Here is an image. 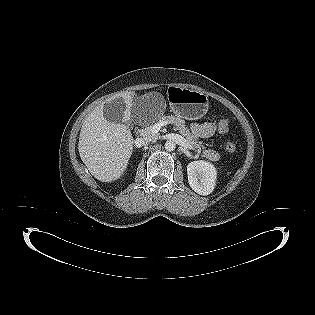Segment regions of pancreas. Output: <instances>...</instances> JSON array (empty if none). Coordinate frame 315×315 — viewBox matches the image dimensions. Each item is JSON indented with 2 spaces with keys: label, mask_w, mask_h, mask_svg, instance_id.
<instances>
[{
  "label": "pancreas",
  "mask_w": 315,
  "mask_h": 315,
  "mask_svg": "<svg viewBox=\"0 0 315 315\" xmlns=\"http://www.w3.org/2000/svg\"><path fill=\"white\" fill-rule=\"evenodd\" d=\"M159 122H167L173 124L177 130H179V133L187 140V142L196 150L198 153L202 151V156L207 158L210 161H218L220 159V154L217 153L214 150L211 149H205L203 146V143L201 141H198V138L191 134L188 127L185 125V121L179 117H175L173 115L171 116H162L159 119ZM153 126H148L143 130L144 136H150L157 138L158 134L152 132Z\"/></svg>",
  "instance_id": "1"
}]
</instances>
